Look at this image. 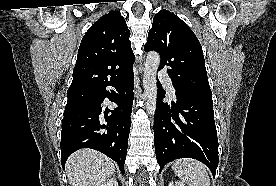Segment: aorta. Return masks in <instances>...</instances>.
Returning <instances> with one entry per match:
<instances>
[{
  "label": "aorta",
  "instance_id": "762f6f07",
  "mask_svg": "<svg viewBox=\"0 0 276 186\" xmlns=\"http://www.w3.org/2000/svg\"><path fill=\"white\" fill-rule=\"evenodd\" d=\"M160 64V55L151 51L147 54L145 61L143 86L146 110L149 115H154L157 103V70Z\"/></svg>",
  "mask_w": 276,
  "mask_h": 186
}]
</instances>
